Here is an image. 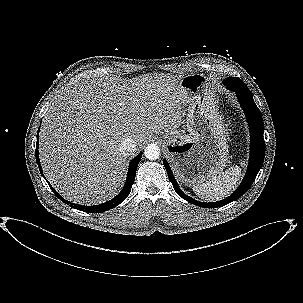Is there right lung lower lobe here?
Wrapping results in <instances>:
<instances>
[{
    "label": "right lung lower lobe",
    "instance_id": "1",
    "mask_svg": "<svg viewBox=\"0 0 303 303\" xmlns=\"http://www.w3.org/2000/svg\"><path fill=\"white\" fill-rule=\"evenodd\" d=\"M38 139H39V130L37 133V143H36V161L38 163L39 166V170L41 172V174L43 175V171L40 165V160H39V155H38ZM142 156V152L138 154V156H136L129 164V169H128V174H127V178H126V182L125 185L123 187V189L121 190V192L114 197L113 199L103 203V204H99V205H94V206H82V205H77L74 203H71L69 201H66L62 196H60L54 189V192L56 194V196L62 200L63 202L69 204L71 207H74L78 210H82V211H86V212H90V213H102L105 212L109 209H112L114 207H116L117 205H119L121 202H123L127 196L130 194L131 192V188L132 185L135 181V173L137 170V166L140 162ZM44 176V175H43ZM50 185V184H49ZM51 187V185H50ZM52 189V187H51Z\"/></svg>",
    "mask_w": 303,
    "mask_h": 303
}]
</instances>
